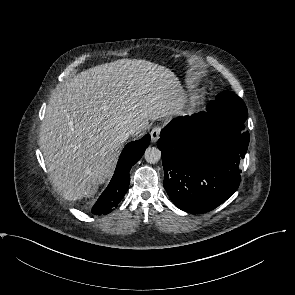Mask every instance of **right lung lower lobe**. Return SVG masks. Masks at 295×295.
<instances>
[{
    "label": "right lung lower lobe",
    "instance_id": "right-lung-lower-lobe-1",
    "mask_svg": "<svg viewBox=\"0 0 295 295\" xmlns=\"http://www.w3.org/2000/svg\"><path fill=\"white\" fill-rule=\"evenodd\" d=\"M149 144L150 136L146 135L142 139L130 142L125 146L118 160L115 173L108 187L93 206L92 214H108L120 203L130 183L129 171L140 160Z\"/></svg>",
    "mask_w": 295,
    "mask_h": 295
}]
</instances>
